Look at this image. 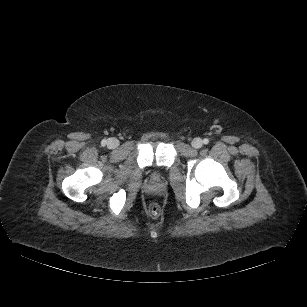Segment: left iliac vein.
<instances>
[{"instance_id": "left-iliac-vein-1", "label": "left iliac vein", "mask_w": 307, "mask_h": 307, "mask_svg": "<svg viewBox=\"0 0 307 307\" xmlns=\"http://www.w3.org/2000/svg\"><path fill=\"white\" fill-rule=\"evenodd\" d=\"M202 145H203V142H202V140L200 139V138H194L193 140H192V146L194 147V148H201L202 147Z\"/></svg>"}]
</instances>
